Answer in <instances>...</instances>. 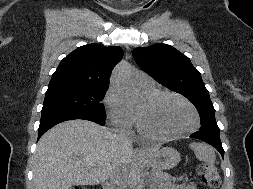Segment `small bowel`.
<instances>
[{
  "instance_id": "1",
  "label": "small bowel",
  "mask_w": 253,
  "mask_h": 189,
  "mask_svg": "<svg viewBox=\"0 0 253 189\" xmlns=\"http://www.w3.org/2000/svg\"><path fill=\"white\" fill-rule=\"evenodd\" d=\"M171 189H196L194 183H180L171 187Z\"/></svg>"
}]
</instances>
